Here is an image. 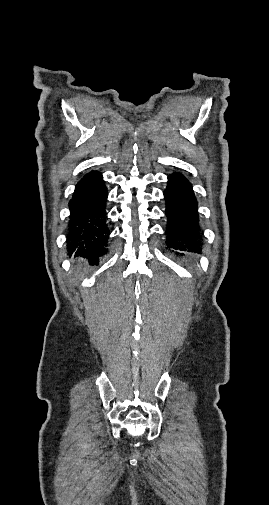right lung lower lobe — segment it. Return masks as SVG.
Returning <instances> with one entry per match:
<instances>
[{
    "label": "right lung lower lobe",
    "instance_id": "obj_1",
    "mask_svg": "<svg viewBox=\"0 0 269 505\" xmlns=\"http://www.w3.org/2000/svg\"><path fill=\"white\" fill-rule=\"evenodd\" d=\"M106 199L107 190L101 173L92 171L77 183L69 202V255L75 253L94 263L106 253L110 233L106 224Z\"/></svg>",
    "mask_w": 269,
    "mask_h": 505
}]
</instances>
